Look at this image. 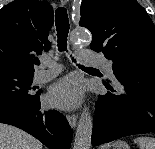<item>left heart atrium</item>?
<instances>
[{
	"label": "left heart atrium",
	"mask_w": 155,
	"mask_h": 149,
	"mask_svg": "<svg viewBox=\"0 0 155 149\" xmlns=\"http://www.w3.org/2000/svg\"><path fill=\"white\" fill-rule=\"evenodd\" d=\"M82 95L83 86L81 80L75 76H67L51 87L47 100L54 107L71 109L79 104Z\"/></svg>",
	"instance_id": "1"
}]
</instances>
